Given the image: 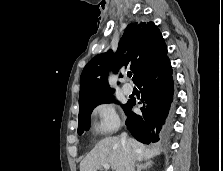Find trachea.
I'll return each mask as SVG.
<instances>
[{
    "label": "trachea",
    "instance_id": "3493384b",
    "mask_svg": "<svg viewBox=\"0 0 223 171\" xmlns=\"http://www.w3.org/2000/svg\"><path fill=\"white\" fill-rule=\"evenodd\" d=\"M127 75H128V77H132V73L131 72H128Z\"/></svg>",
    "mask_w": 223,
    "mask_h": 171
}]
</instances>
